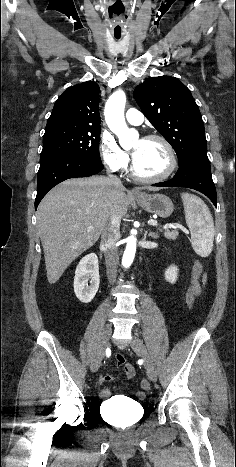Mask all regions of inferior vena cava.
<instances>
[{"instance_id":"inferior-vena-cava-1","label":"inferior vena cava","mask_w":236,"mask_h":467,"mask_svg":"<svg viewBox=\"0 0 236 467\" xmlns=\"http://www.w3.org/2000/svg\"><path fill=\"white\" fill-rule=\"evenodd\" d=\"M108 173V180L117 187L122 186L121 180L112 174ZM120 238V220L116 215H113L105 224L101 234V246L104 249L107 277L110 282H114L117 273V265L119 261L117 242Z\"/></svg>"}]
</instances>
